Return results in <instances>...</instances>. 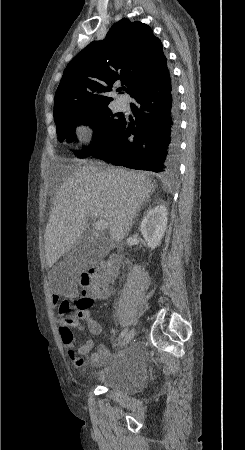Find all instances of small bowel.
<instances>
[{"label":"small bowel","mask_w":245,"mask_h":450,"mask_svg":"<svg viewBox=\"0 0 245 450\" xmlns=\"http://www.w3.org/2000/svg\"><path fill=\"white\" fill-rule=\"evenodd\" d=\"M114 294V289L107 286L105 288H99L94 287L92 291L88 294V297L91 300H97V299H106L111 297ZM61 300L60 296L53 295L51 297V303L53 305H57ZM78 315L79 317L85 322L86 327L88 330L93 333L94 335H99L102 332L101 325L93 318L91 307L88 309H80L78 308ZM111 333H115V330H111ZM64 341V340H63ZM64 344L66 345L68 349V354L70 358L76 362L79 363V354H86L88 353L94 346L93 340H88L84 344H82L79 347H76L74 340L72 339L69 342L64 341ZM108 355V351L104 347H99L98 352L91 355L90 360L92 362H97L102 357Z\"/></svg>","instance_id":"1"}]
</instances>
